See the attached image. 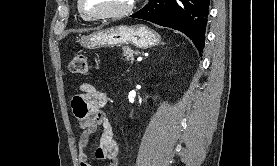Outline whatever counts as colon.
Listing matches in <instances>:
<instances>
[{
	"instance_id": "colon-1",
	"label": "colon",
	"mask_w": 277,
	"mask_h": 166,
	"mask_svg": "<svg viewBox=\"0 0 277 166\" xmlns=\"http://www.w3.org/2000/svg\"><path fill=\"white\" fill-rule=\"evenodd\" d=\"M69 70L74 74H85L88 70L86 56L77 54L69 63Z\"/></svg>"
}]
</instances>
